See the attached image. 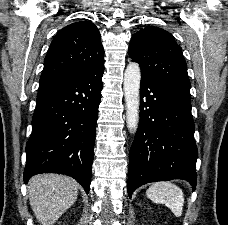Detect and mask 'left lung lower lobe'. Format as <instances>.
<instances>
[{
    "mask_svg": "<svg viewBox=\"0 0 228 225\" xmlns=\"http://www.w3.org/2000/svg\"><path fill=\"white\" fill-rule=\"evenodd\" d=\"M198 150L190 92L141 78L140 121L129 155L127 189L183 179L196 187Z\"/></svg>",
    "mask_w": 228,
    "mask_h": 225,
    "instance_id": "left-lung-lower-lobe-1",
    "label": "left lung lower lobe"
}]
</instances>
